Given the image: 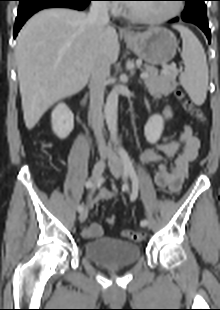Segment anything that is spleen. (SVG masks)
Segmentation results:
<instances>
[{"label": "spleen", "mask_w": 220, "mask_h": 310, "mask_svg": "<svg viewBox=\"0 0 220 310\" xmlns=\"http://www.w3.org/2000/svg\"><path fill=\"white\" fill-rule=\"evenodd\" d=\"M182 38L181 57L185 71L180 74V83L196 105H202L208 88V65L202 44L187 27L174 26Z\"/></svg>", "instance_id": "obj_1"}]
</instances>
